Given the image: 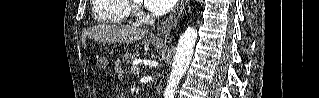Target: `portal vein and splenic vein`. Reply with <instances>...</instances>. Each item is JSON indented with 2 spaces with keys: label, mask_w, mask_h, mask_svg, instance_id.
Listing matches in <instances>:
<instances>
[{
  "label": "portal vein and splenic vein",
  "mask_w": 319,
  "mask_h": 98,
  "mask_svg": "<svg viewBox=\"0 0 319 98\" xmlns=\"http://www.w3.org/2000/svg\"><path fill=\"white\" fill-rule=\"evenodd\" d=\"M131 72L134 74H138L140 72V68L133 64V66L131 67Z\"/></svg>",
  "instance_id": "18ae733b"
}]
</instances>
